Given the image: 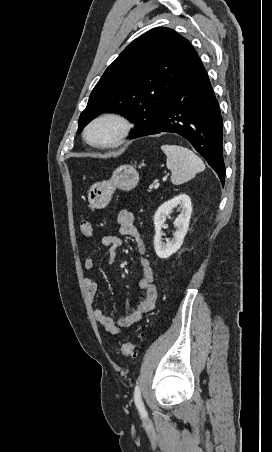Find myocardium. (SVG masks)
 I'll use <instances>...</instances> for the list:
<instances>
[{"mask_svg":"<svg viewBox=\"0 0 272 452\" xmlns=\"http://www.w3.org/2000/svg\"><path fill=\"white\" fill-rule=\"evenodd\" d=\"M108 123L113 125L115 131L111 138L105 141H94L90 138L91 131L98 125ZM131 123L127 117L117 112H104L92 118L85 126L83 137L85 141L97 148H113L121 145L128 137Z\"/></svg>","mask_w":272,"mask_h":452,"instance_id":"f54148a6","label":"myocardium"}]
</instances>
